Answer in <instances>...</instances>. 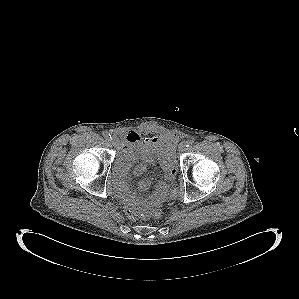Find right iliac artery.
<instances>
[{"mask_svg":"<svg viewBox=\"0 0 299 299\" xmlns=\"http://www.w3.org/2000/svg\"><path fill=\"white\" fill-rule=\"evenodd\" d=\"M103 136H104V138H106L107 140H110V138H111V135H110L109 133H107V132H104V133H103Z\"/></svg>","mask_w":299,"mask_h":299,"instance_id":"right-iliac-artery-1","label":"right iliac artery"}]
</instances>
